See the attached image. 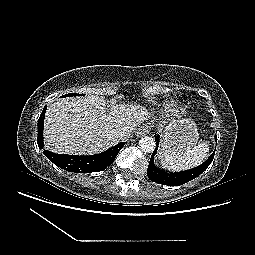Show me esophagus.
<instances>
[{"mask_svg":"<svg viewBox=\"0 0 255 255\" xmlns=\"http://www.w3.org/2000/svg\"><path fill=\"white\" fill-rule=\"evenodd\" d=\"M150 132V127L148 125H143L140 128H138L136 132L137 137L144 136Z\"/></svg>","mask_w":255,"mask_h":255,"instance_id":"obj_1","label":"esophagus"}]
</instances>
